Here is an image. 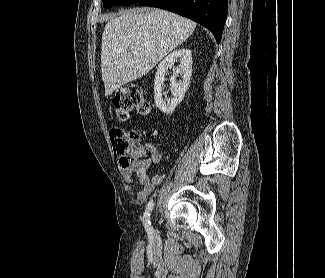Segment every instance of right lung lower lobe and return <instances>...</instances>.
I'll return each mask as SVG.
<instances>
[{
	"instance_id": "98d812e1",
	"label": "right lung lower lobe",
	"mask_w": 325,
	"mask_h": 278,
	"mask_svg": "<svg viewBox=\"0 0 325 278\" xmlns=\"http://www.w3.org/2000/svg\"><path fill=\"white\" fill-rule=\"evenodd\" d=\"M190 18L208 28L220 43L228 12V0H137Z\"/></svg>"
}]
</instances>
